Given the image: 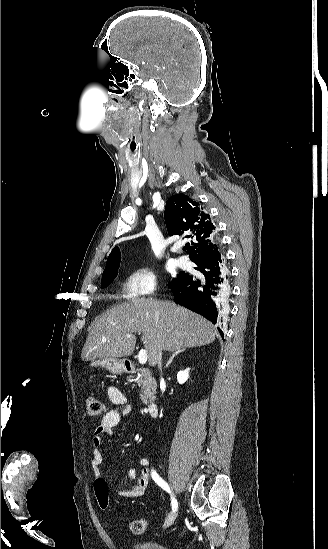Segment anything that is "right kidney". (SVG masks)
Instances as JSON below:
<instances>
[{"instance_id": "1", "label": "right kidney", "mask_w": 328, "mask_h": 549, "mask_svg": "<svg viewBox=\"0 0 328 549\" xmlns=\"http://www.w3.org/2000/svg\"><path fill=\"white\" fill-rule=\"evenodd\" d=\"M188 377H189V369H186V371H179V373H177V381L178 383H180V385H183V383L187 381Z\"/></svg>"}]
</instances>
